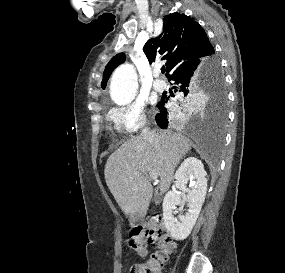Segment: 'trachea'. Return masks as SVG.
<instances>
[{
	"mask_svg": "<svg viewBox=\"0 0 285 273\" xmlns=\"http://www.w3.org/2000/svg\"><path fill=\"white\" fill-rule=\"evenodd\" d=\"M165 71H166L165 67L161 68V72H162V74H164V73H165Z\"/></svg>",
	"mask_w": 285,
	"mask_h": 273,
	"instance_id": "trachea-1",
	"label": "trachea"
}]
</instances>
